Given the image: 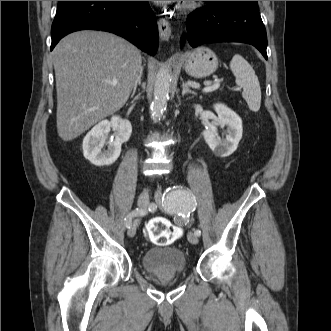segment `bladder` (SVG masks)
Wrapping results in <instances>:
<instances>
[{
	"label": "bladder",
	"mask_w": 331,
	"mask_h": 331,
	"mask_svg": "<svg viewBox=\"0 0 331 331\" xmlns=\"http://www.w3.org/2000/svg\"><path fill=\"white\" fill-rule=\"evenodd\" d=\"M143 269L153 276L181 274L187 268L185 254L177 247H156L145 251L141 257Z\"/></svg>",
	"instance_id": "bladder-1"
}]
</instances>
